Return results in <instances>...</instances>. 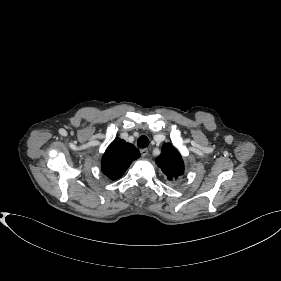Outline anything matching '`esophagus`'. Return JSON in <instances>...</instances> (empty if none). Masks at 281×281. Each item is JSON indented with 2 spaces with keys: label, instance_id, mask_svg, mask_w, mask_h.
<instances>
[{
  "label": "esophagus",
  "instance_id": "esophagus-1",
  "mask_svg": "<svg viewBox=\"0 0 281 281\" xmlns=\"http://www.w3.org/2000/svg\"><path fill=\"white\" fill-rule=\"evenodd\" d=\"M140 153H141L142 157H146L148 155V149H146V148L145 149H141Z\"/></svg>",
  "mask_w": 281,
  "mask_h": 281
}]
</instances>
